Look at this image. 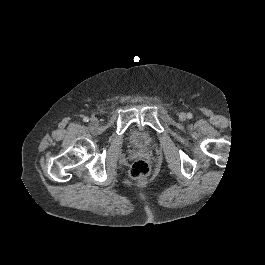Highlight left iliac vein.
Segmentation results:
<instances>
[{"label": "left iliac vein", "mask_w": 265, "mask_h": 265, "mask_svg": "<svg viewBox=\"0 0 265 265\" xmlns=\"http://www.w3.org/2000/svg\"><path fill=\"white\" fill-rule=\"evenodd\" d=\"M179 119L182 120V121H184L186 119V114L184 112H181L179 114Z\"/></svg>", "instance_id": "1"}]
</instances>
